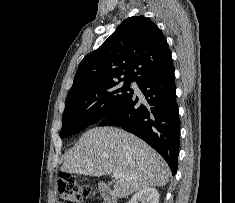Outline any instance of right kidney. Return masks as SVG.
I'll return each mask as SVG.
<instances>
[{
    "mask_svg": "<svg viewBox=\"0 0 235 203\" xmlns=\"http://www.w3.org/2000/svg\"><path fill=\"white\" fill-rule=\"evenodd\" d=\"M128 203H159L158 191L152 187H145L135 193Z\"/></svg>",
    "mask_w": 235,
    "mask_h": 203,
    "instance_id": "obj_1",
    "label": "right kidney"
}]
</instances>
